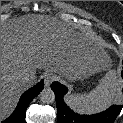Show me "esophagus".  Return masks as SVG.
<instances>
[{"mask_svg":"<svg viewBox=\"0 0 123 123\" xmlns=\"http://www.w3.org/2000/svg\"><path fill=\"white\" fill-rule=\"evenodd\" d=\"M54 80L55 76L52 73L47 72L44 74V82L47 87H49Z\"/></svg>","mask_w":123,"mask_h":123,"instance_id":"obj_1","label":"esophagus"}]
</instances>
